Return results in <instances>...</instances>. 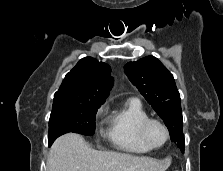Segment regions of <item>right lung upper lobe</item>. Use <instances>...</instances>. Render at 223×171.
<instances>
[{"label": "right lung upper lobe", "instance_id": "right-lung-upper-lobe-1", "mask_svg": "<svg viewBox=\"0 0 223 171\" xmlns=\"http://www.w3.org/2000/svg\"><path fill=\"white\" fill-rule=\"evenodd\" d=\"M110 73L111 68L108 64L99 62L92 57H85L66 74L53 101L103 104L114 82Z\"/></svg>", "mask_w": 223, "mask_h": 171}]
</instances>
